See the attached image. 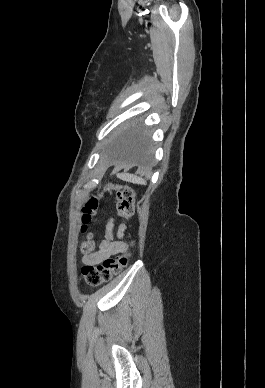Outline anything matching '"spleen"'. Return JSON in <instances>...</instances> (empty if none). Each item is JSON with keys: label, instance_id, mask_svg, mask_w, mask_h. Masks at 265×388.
<instances>
[{"label": "spleen", "instance_id": "1", "mask_svg": "<svg viewBox=\"0 0 265 388\" xmlns=\"http://www.w3.org/2000/svg\"><path fill=\"white\" fill-rule=\"evenodd\" d=\"M119 178H122L125 182H132V184H145L142 178H137V176H132V174H121Z\"/></svg>", "mask_w": 265, "mask_h": 388}]
</instances>
